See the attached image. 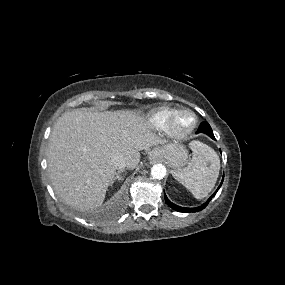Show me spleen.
<instances>
[{
  "instance_id": "1",
  "label": "spleen",
  "mask_w": 285,
  "mask_h": 285,
  "mask_svg": "<svg viewBox=\"0 0 285 285\" xmlns=\"http://www.w3.org/2000/svg\"><path fill=\"white\" fill-rule=\"evenodd\" d=\"M192 159L185 168L174 170L172 175L191 191L197 199H203L214 188L220 171V160L217 153L208 145L193 141Z\"/></svg>"
}]
</instances>
